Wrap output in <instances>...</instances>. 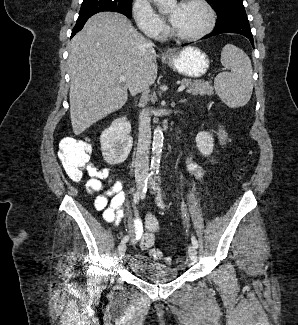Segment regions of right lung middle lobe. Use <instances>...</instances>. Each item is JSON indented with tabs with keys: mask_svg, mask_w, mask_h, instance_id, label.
<instances>
[{
	"mask_svg": "<svg viewBox=\"0 0 298 325\" xmlns=\"http://www.w3.org/2000/svg\"><path fill=\"white\" fill-rule=\"evenodd\" d=\"M132 0H84L78 19H86L101 11H115L131 18Z\"/></svg>",
	"mask_w": 298,
	"mask_h": 325,
	"instance_id": "obj_1",
	"label": "right lung middle lobe"
}]
</instances>
